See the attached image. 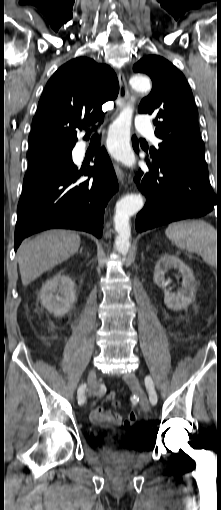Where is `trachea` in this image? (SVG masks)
Segmentation results:
<instances>
[{
  "instance_id": "1",
  "label": "trachea",
  "mask_w": 221,
  "mask_h": 510,
  "mask_svg": "<svg viewBox=\"0 0 221 510\" xmlns=\"http://www.w3.org/2000/svg\"><path fill=\"white\" fill-rule=\"evenodd\" d=\"M92 139L96 140L97 139V134H95Z\"/></svg>"
}]
</instances>
